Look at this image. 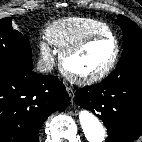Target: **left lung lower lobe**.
Returning <instances> with one entry per match:
<instances>
[{"instance_id": "1", "label": "left lung lower lobe", "mask_w": 142, "mask_h": 142, "mask_svg": "<svg viewBox=\"0 0 142 142\" xmlns=\"http://www.w3.org/2000/svg\"><path fill=\"white\" fill-rule=\"evenodd\" d=\"M75 102L103 121L108 131L105 142H132L142 135V75L84 87Z\"/></svg>"}]
</instances>
